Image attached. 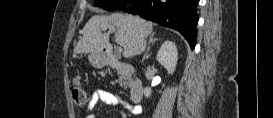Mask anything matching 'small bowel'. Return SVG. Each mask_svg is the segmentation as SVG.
<instances>
[{
    "mask_svg": "<svg viewBox=\"0 0 273 118\" xmlns=\"http://www.w3.org/2000/svg\"><path fill=\"white\" fill-rule=\"evenodd\" d=\"M100 102L108 104V105H123L124 104V101L119 96L107 90H97L89 99L86 106V111L90 113L96 107V105ZM128 110L134 115H138L142 111L141 107L139 106H128Z\"/></svg>",
    "mask_w": 273,
    "mask_h": 118,
    "instance_id": "obj_1",
    "label": "small bowel"
}]
</instances>
